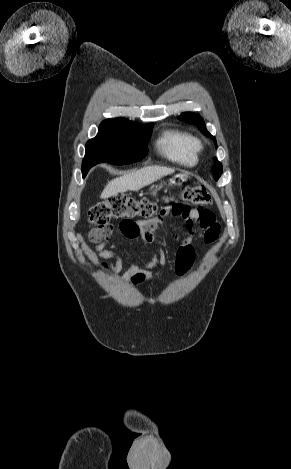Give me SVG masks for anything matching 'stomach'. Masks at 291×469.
<instances>
[{"label": "stomach", "mask_w": 291, "mask_h": 469, "mask_svg": "<svg viewBox=\"0 0 291 469\" xmlns=\"http://www.w3.org/2000/svg\"><path fill=\"white\" fill-rule=\"evenodd\" d=\"M187 180L186 176L182 175V174H179V175H176L174 178H172L170 180V183L169 185L170 186H174V187H179L182 185L183 182H185ZM150 195L152 196H156V190L152 189L150 191Z\"/></svg>", "instance_id": "obj_1"}]
</instances>
